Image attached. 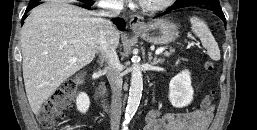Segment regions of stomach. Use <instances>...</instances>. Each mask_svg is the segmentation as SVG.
I'll list each match as a JSON object with an SVG mask.
<instances>
[{
  "label": "stomach",
  "mask_w": 257,
  "mask_h": 130,
  "mask_svg": "<svg viewBox=\"0 0 257 130\" xmlns=\"http://www.w3.org/2000/svg\"><path fill=\"white\" fill-rule=\"evenodd\" d=\"M179 26L168 19H156L135 29L145 41L151 44H168L178 36Z\"/></svg>",
  "instance_id": "0dacf381"
}]
</instances>
